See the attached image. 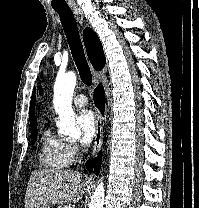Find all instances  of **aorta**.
Segmentation results:
<instances>
[{"instance_id":"obj_1","label":"aorta","mask_w":199,"mask_h":208,"mask_svg":"<svg viewBox=\"0 0 199 208\" xmlns=\"http://www.w3.org/2000/svg\"><path fill=\"white\" fill-rule=\"evenodd\" d=\"M76 86V74L68 72L58 76L54 85L53 104L58 113V132L63 135L76 136L80 131L75 126V114L72 109V97ZM105 187L102 179L98 182L91 197L89 208H104Z\"/></svg>"}]
</instances>
